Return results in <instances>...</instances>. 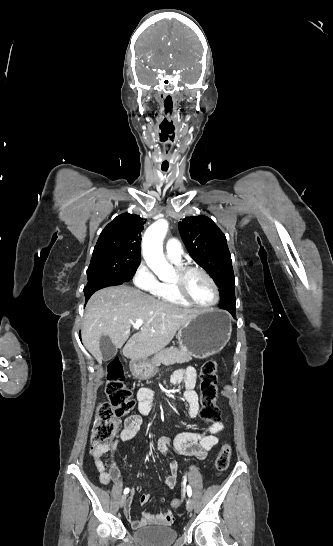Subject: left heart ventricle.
Returning a JSON list of instances; mask_svg holds the SVG:
<instances>
[{
  "label": "left heart ventricle",
  "instance_id": "obj_1",
  "mask_svg": "<svg viewBox=\"0 0 333 546\" xmlns=\"http://www.w3.org/2000/svg\"><path fill=\"white\" fill-rule=\"evenodd\" d=\"M189 296L200 304H209L215 299L214 290L209 281L199 272H190L185 280Z\"/></svg>",
  "mask_w": 333,
  "mask_h": 546
}]
</instances>
